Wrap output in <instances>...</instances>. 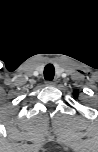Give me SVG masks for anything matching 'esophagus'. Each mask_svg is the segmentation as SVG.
Here are the masks:
<instances>
[{
    "mask_svg": "<svg viewBox=\"0 0 98 152\" xmlns=\"http://www.w3.org/2000/svg\"><path fill=\"white\" fill-rule=\"evenodd\" d=\"M55 84H56V82H54V81H46L47 86H54Z\"/></svg>",
    "mask_w": 98,
    "mask_h": 152,
    "instance_id": "esophagus-1",
    "label": "esophagus"
}]
</instances>
